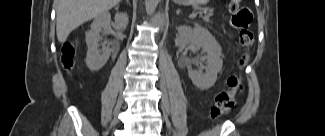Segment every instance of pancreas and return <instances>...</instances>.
Wrapping results in <instances>:
<instances>
[{"label": "pancreas", "instance_id": "pancreas-1", "mask_svg": "<svg viewBox=\"0 0 325 136\" xmlns=\"http://www.w3.org/2000/svg\"><path fill=\"white\" fill-rule=\"evenodd\" d=\"M201 19H205L206 21L211 18V13L209 16H200Z\"/></svg>", "mask_w": 325, "mask_h": 136}]
</instances>
